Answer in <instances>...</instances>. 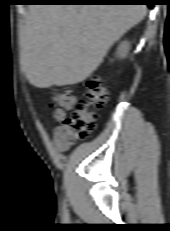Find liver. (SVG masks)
<instances>
[{"mask_svg":"<svg viewBox=\"0 0 170 231\" xmlns=\"http://www.w3.org/2000/svg\"><path fill=\"white\" fill-rule=\"evenodd\" d=\"M146 13V5H33L20 33L22 70L38 88L82 82Z\"/></svg>","mask_w":170,"mask_h":231,"instance_id":"obj_1","label":"liver"}]
</instances>
